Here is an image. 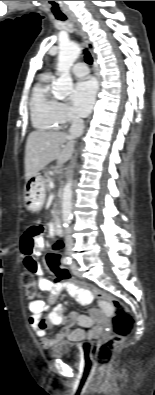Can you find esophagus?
I'll return each instance as SVG.
<instances>
[{
  "label": "esophagus",
  "mask_w": 155,
  "mask_h": 395,
  "mask_svg": "<svg viewBox=\"0 0 155 395\" xmlns=\"http://www.w3.org/2000/svg\"><path fill=\"white\" fill-rule=\"evenodd\" d=\"M67 16L76 23V25L78 26V28L80 30L82 41H83L84 45L92 53V49H93L92 44H91V42L89 40V37H88L87 33L83 30L82 25L79 22V20L77 19V17L74 14H72V13H67Z\"/></svg>",
  "instance_id": "34e87169"
}]
</instances>
